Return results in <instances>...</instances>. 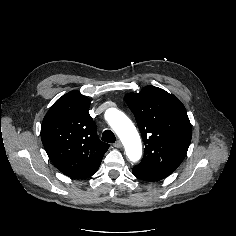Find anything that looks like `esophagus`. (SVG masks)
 I'll return each mask as SVG.
<instances>
[{
	"label": "esophagus",
	"instance_id": "1",
	"mask_svg": "<svg viewBox=\"0 0 236 236\" xmlns=\"http://www.w3.org/2000/svg\"><path fill=\"white\" fill-rule=\"evenodd\" d=\"M114 147L116 148H121L122 147V143L120 140H117L114 144H113Z\"/></svg>",
	"mask_w": 236,
	"mask_h": 236
}]
</instances>
